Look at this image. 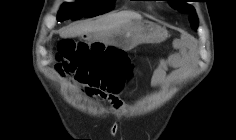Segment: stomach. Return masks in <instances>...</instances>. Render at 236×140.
Listing matches in <instances>:
<instances>
[{"label":"stomach","instance_id":"0dacf381","mask_svg":"<svg viewBox=\"0 0 236 140\" xmlns=\"http://www.w3.org/2000/svg\"><path fill=\"white\" fill-rule=\"evenodd\" d=\"M117 29V26H111ZM101 35V32H97ZM167 31L149 20L132 19L118 31H103V36H92V41H103L105 44L130 50L141 43H158L165 40Z\"/></svg>","mask_w":236,"mask_h":140}]
</instances>
